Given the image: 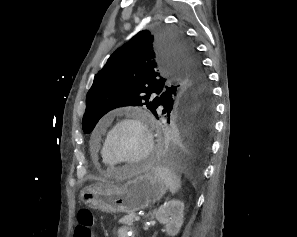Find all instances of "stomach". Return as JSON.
<instances>
[{
    "label": "stomach",
    "mask_w": 297,
    "mask_h": 237,
    "mask_svg": "<svg viewBox=\"0 0 297 237\" xmlns=\"http://www.w3.org/2000/svg\"><path fill=\"white\" fill-rule=\"evenodd\" d=\"M167 190L165 183L148 171L121 187L89 186L82 190V202L107 213H134L159 201Z\"/></svg>",
    "instance_id": "stomach-1"
}]
</instances>
